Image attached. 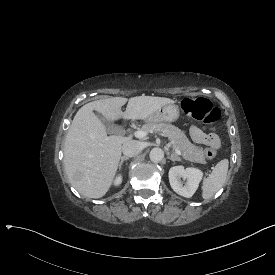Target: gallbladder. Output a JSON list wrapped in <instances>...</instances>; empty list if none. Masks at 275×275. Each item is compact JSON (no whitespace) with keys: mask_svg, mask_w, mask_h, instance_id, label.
Wrapping results in <instances>:
<instances>
[{"mask_svg":"<svg viewBox=\"0 0 275 275\" xmlns=\"http://www.w3.org/2000/svg\"><path fill=\"white\" fill-rule=\"evenodd\" d=\"M93 113L101 120L108 134H115L121 131V127L116 125L112 118H107L98 111H93Z\"/></svg>","mask_w":275,"mask_h":275,"instance_id":"gallbladder-1","label":"gallbladder"}]
</instances>
